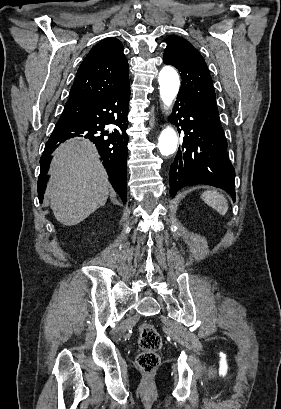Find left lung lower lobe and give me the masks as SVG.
<instances>
[{
	"label": "left lung lower lobe",
	"mask_w": 281,
	"mask_h": 409,
	"mask_svg": "<svg viewBox=\"0 0 281 409\" xmlns=\"http://www.w3.org/2000/svg\"><path fill=\"white\" fill-rule=\"evenodd\" d=\"M169 120L183 131V144L170 167V195L185 185L208 184L229 192L235 201V170L219 113L192 97L178 94Z\"/></svg>",
	"instance_id": "1"
}]
</instances>
